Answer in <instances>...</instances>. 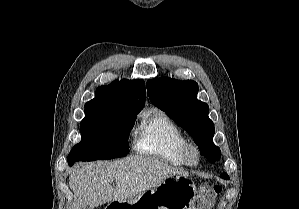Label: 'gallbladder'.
<instances>
[{
    "label": "gallbladder",
    "instance_id": "1",
    "mask_svg": "<svg viewBox=\"0 0 299 209\" xmlns=\"http://www.w3.org/2000/svg\"><path fill=\"white\" fill-rule=\"evenodd\" d=\"M83 209H91V207H89V206H85Z\"/></svg>",
    "mask_w": 299,
    "mask_h": 209
}]
</instances>
